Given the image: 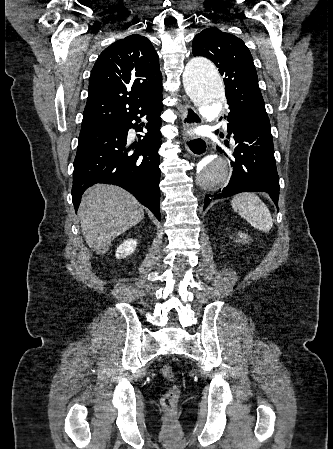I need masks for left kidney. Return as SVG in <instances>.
<instances>
[{
  "instance_id": "obj_1",
  "label": "left kidney",
  "mask_w": 333,
  "mask_h": 449,
  "mask_svg": "<svg viewBox=\"0 0 333 449\" xmlns=\"http://www.w3.org/2000/svg\"><path fill=\"white\" fill-rule=\"evenodd\" d=\"M239 236H240L242 241H246V239L248 238V236L245 233H242V232H239Z\"/></svg>"
}]
</instances>
